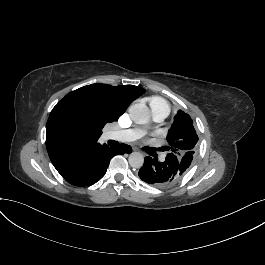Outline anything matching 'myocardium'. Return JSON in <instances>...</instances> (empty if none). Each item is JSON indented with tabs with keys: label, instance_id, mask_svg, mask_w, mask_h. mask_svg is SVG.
<instances>
[{
	"label": "myocardium",
	"instance_id": "obj_1",
	"mask_svg": "<svg viewBox=\"0 0 265 265\" xmlns=\"http://www.w3.org/2000/svg\"><path fill=\"white\" fill-rule=\"evenodd\" d=\"M151 106H149V111L152 113V108L156 105H159V102L157 100H152ZM153 114V113H152ZM154 115V114H153Z\"/></svg>",
	"mask_w": 265,
	"mask_h": 265
}]
</instances>
